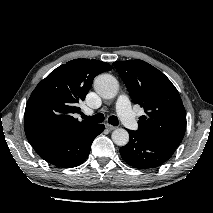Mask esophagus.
I'll use <instances>...</instances> for the list:
<instances>
[{
	"label": "esophagus",
	"instance_id": "esophagus-1",
	"mask_svg": "<svg viewBox=\"0 0 213 213\" xmlns=\"http://www.w3.org/2000/svg\"><path fill=\"white\" fill-rule=\"evenodd\" d=\"M105 126H106V128H107L108 130H110V131H112V130L116 129V127H115V126L110 125V124H108V123H107Z\"/></svg>",
	"mask_w": 213,
	"mask_h": 213
}]
</instances>
